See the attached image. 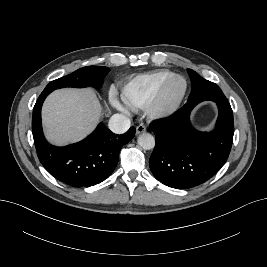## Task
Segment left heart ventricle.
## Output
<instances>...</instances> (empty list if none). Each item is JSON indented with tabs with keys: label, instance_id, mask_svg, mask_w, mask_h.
<instances>
[{
	"label": "left heart ventricle",
	"instance_id": "obj_1",
	"mask_svg": "<svg viewBox=\"0 0 267 267\" xmlns=\"http://www.w3.org/2000/svg\"><path fill=\"white\" fill-rule=\"evenodd\" d=\"M183 88L184 82L181 79L174 80L166 92L165 101L173 102L174 100H176L182 93Z\"/></svg>",
	"mask_w": 267,
	"mask_h": 267
}]
</instances>
